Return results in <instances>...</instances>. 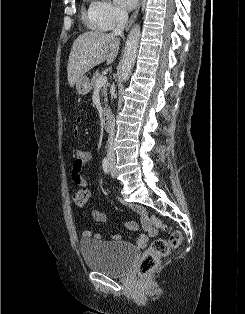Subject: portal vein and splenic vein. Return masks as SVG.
<instances>
[{
    "label": "portal vein and splenic vein",
    "instance_id": "portal-vein-and-splenic-vein-1",
    "mask_svg": "<svg viewBox=\"0 0 245 314\" xmlns=\"http://www.w3.org/2000/svg\"><path fill=\"white\" fill-rule=\"evenodd\" d=\"M106 82H107V77L101 76L97 79L96 87L101 88L102 86H104L106 84Z\"/></svg>",
    "mask_w": 245,
    "mask_h": 314
}]
</instances>
